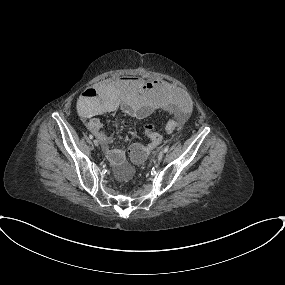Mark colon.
Instances as JSON below:
<instances>
[{
	"instance_id": "colon-1",
	"label": "colon",
	"mask_w": 285,
	"mask_h": 285,
	"mask_svg": "<svg viewBox=\"0 0 285 285\" xmlns=\"http://www.w3.org/2000/svg\"><path fill=\"white\" fill-rule=\"evenodd\" d=\"M180 128V124L174 120L168 121L166 124L167 131H175ZM143 137L148 141L146 145L135 143L130 147V158L135 163L143 162L148 156L151 149L159 145L162 141L161 134L152 124H146L143 128Z\"/></svg>"
}]
</instances>
